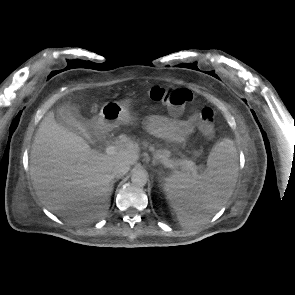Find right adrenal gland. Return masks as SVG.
<instances>
[{
	"label": "right adrenal gland",
	"instance_id": "2a0ac1e0",
	"mask_svg": "<svg viewBox=\"0 0 295 295\" xmlns=\"http://www.w3.org/2000/svg\"><path fill=\"white\" fill-rule=\"evenodd\" d=\"M119 179V177H117L116 179H113L111 182V190H113V185L114 183Z\"/></svg>",
	"mask_w": 295,
	"mask_h": 295
}]
</instances>
